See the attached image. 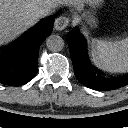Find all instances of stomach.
I'll use <instances>...</instances> for the list:
<instances>
[{"label": "stomach", "instance_id": "obj_1", "mask_svg": "<svg viewBox=\"0 0 128 128\" xmlns=\"http://www.w3.org/2000/svg\"><path fill=\"white\" fill-rule=\"evenodd\" d=\"M102 2L103 0H86V4L92 8L98 7ZM83 19L85 20V23L91 28L97 27L98 20L93 14L91 13L84 14Z\"/></svg>", "mask_w": 128, "mask_h": 128}]
</instances>
